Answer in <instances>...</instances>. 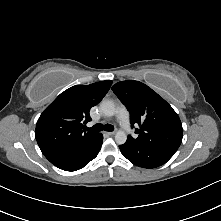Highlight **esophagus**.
<instances>
[{
	"mask_svg": "<svg viewBox=\"0 0 221 221\" xmlns=\"http://www.w3.org/2000/svg\"><path fill=\"white\" fill-rule=\"evenodd\" d=\"M115 134V132H106V135L108 136H113Z\"/></svg>",
	"mask_w": 221,
	"mask_h": 221,
	"instance_id": "34e87169",
	"label": "esophagus"
}]
</instances>
